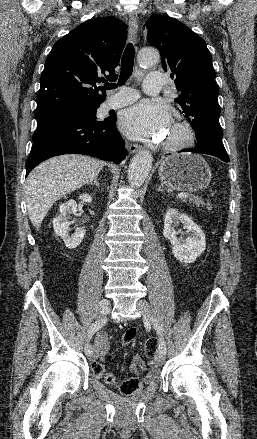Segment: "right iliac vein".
<instances>
[{
	"label": "right iliac vein",
	"instance_id": "63e3f726",
	"mask_svg": "<svg viewBox=\"0 0 257 439\" xmlns=\"http://www.w3.org/2000/svg\"><path fill=\"white\" fill-rule=\"evenodd\" d=\"M109 305H110L109 300L107 299L101 300L97 307L96 318H102L105 315H107L110 310ZM88 358L90 361H94L95 354L92 352L90 355H88Z\"/></svg>",
	"mask_w": 257,
	"mask_h": 439
}]
</instances>
